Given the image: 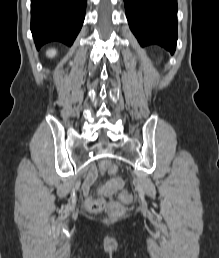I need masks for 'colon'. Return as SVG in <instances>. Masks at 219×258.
<instances>
[{"instance_id":"colon-1","label":"colon","mask_w":219,"mask_h":258,"mask_svg":"<svg viewBox=\"0 0 219 258\" xmlns=\"http://www.w3.org/2000/svg\"><path fill=\"white\" fill-rule=\"evenodd\" d=\"M100 170L102 173L114 174L117 171V166L110 160H104L100 164ZM121 202H130L133 199V196L128 191L124 190L120 194ZM86 207L94 212L107 209L112 216H118L123 212V206L118 201L106 202L104 199H93L88 198L86 200Z\"/></svg>"}]
</instances>
